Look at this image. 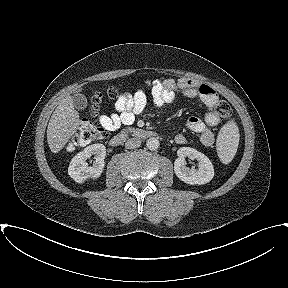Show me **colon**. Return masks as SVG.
Here are the masks:
<instances>
[{
	"instance_id": "5ec220e1",
	"label": "colon",
	"mask_w": 288,
	"mask_h": 288,
	"mask_svg": "<svg viewBox=\"0 0 288 288\" xmlns=\"http://www.w3.org/2000/svg\"><path fill=\"white\" fill-rule=\"evenodd\" d=\"M108 95L113 99H118L122 96L118 88L110 87ZM101 95L96 93L92 97V109L93 113L97 114L100 108ZM216 111L223 118H229L231 116V109L227 102L220 100L216 105ZM107 136L106 128L98 125L96 122L83 120L78 131L73 139L74 145H86L97 140H101Z\"/></svg>"
}]
</instances>
